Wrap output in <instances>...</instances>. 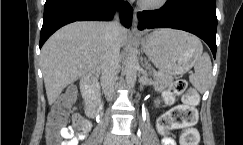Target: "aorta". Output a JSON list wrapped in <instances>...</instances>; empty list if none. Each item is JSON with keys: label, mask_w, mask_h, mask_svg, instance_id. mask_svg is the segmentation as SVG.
<instances>
[{"label": "aorta", "mask_w": 243, "mask_h": 145, "mask_svg": "<svg viewBox=\"0 0 243 145\" xmlns=\"http://www.w3.org/2000/svg\"><path fill=\"white\" fill-rule=\"evenodd\" d=\"M138 68L139 62L137 54L135 50H131L125 64L126 83L129 89L135 86Z\"/></svg>", "instance_id": "aorta-1"}]
</instances>
